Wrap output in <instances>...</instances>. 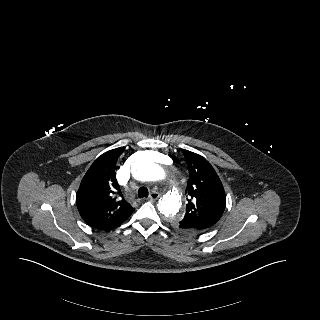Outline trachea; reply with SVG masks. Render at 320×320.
<instances>
[{
	"mask_svg": "<svg viewBox=\"0 0 320 320\" xmlns=\"http://www.w3.org/2000/svg\"><path fill=\"white\" fill-rule=\"evenodd\" d=\"M149 194L148 192V189L146 187H141L139 190H138V197L139 198H144V197H147Z\"/></svg>",
	"mask_w": 320,
	"mask_h": 320,
	"instance_id": "trachea-1",
	"label": "trachea"
}]
</instances>
